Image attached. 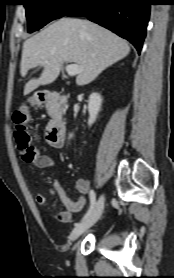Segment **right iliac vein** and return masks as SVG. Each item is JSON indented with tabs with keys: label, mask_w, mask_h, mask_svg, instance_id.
<instances>
[{
	"label": "right iliac vein",
	"mask_w": 174,
	"mask_h": 278,
	"mask_svg": "<svg viewBox=\"0 0 174 278\" xmlns=\"http://www.w3.org/2000/svg\"><path fill=\"white\" fill-rule=\"evenodd\" d=\"M104 208V196L98 199L94 211L91 215L80 224L76 225L70 234V241L77 240L86 230L93 226L100 218Z\"/></svg>",
	"instance_id": "right-iliac-vein-1"
}]
</instances>
